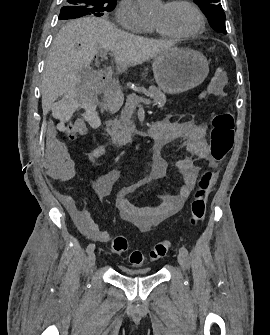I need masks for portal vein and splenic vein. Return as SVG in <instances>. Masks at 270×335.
Returning a JSON list of instances; mask_svg holds the SVG:
<instances>
[{
	"mask_svg": "<svg viewBox=\"0 0 270 335\" xmlns=\"http://www.w3.org/2000/svg\"><path fill=\"white\" fill-rule=\"evenodd\" d=\"M100 56H107V52H100ZM132 96H134V93H131V96H129V99H132ZM134 99H137V96H134ZM139 100H143V104H150V100L146 97L143 98L142 95L138 96ZM154 103V102H151Z\"/></svg>",
	"mask_w": 270,
	"mask_h": 335,
	"instance_id": "1",
	"label": "portal vein and splenic vein"
}]
</instances>
